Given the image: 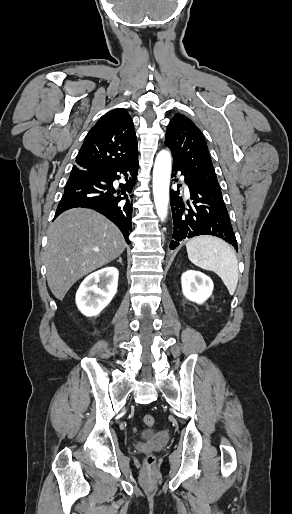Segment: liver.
<instances>
[{
    "label": "liver",
    "mask_w": 292,
    "mask_h": 514,
    "mask_svg": "<svg viewBox=\"0 0 292 514\" xmlns=\"http://www.w3.org/2000/svg\"><path fill=\"white\" fill-rule=\"evenodd\" d=\"M47 236L46 276L57 300H63L77 280L109 264L125 248L117 226L102 214L86 208H73L61 214L51 224Z\"/></svg>",
    "instance_id": "6515ba94"
}]
</instances>
